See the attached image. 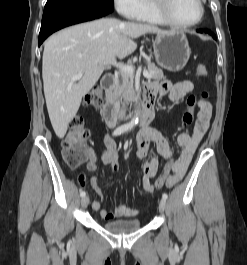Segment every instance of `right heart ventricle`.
Listing matches in <instances>:
<instances>
[{"mask_svg": "<svg viewBox=\"0 0 247 265\" xmlns=\"http://www.w3.org/2000/svg\"><path fill=\"white\" fill-rule=\"evenodd\" d=\"M135 20L142 22L155 24V25H166L167 23L155 12L153 8L152 0H143V7L139 17Z\"/></svg>", "mask_w": 247, "mask_h": 265, "instance_id": "e07e8e85", "label": "right heart ventricle"}]
</instances>
